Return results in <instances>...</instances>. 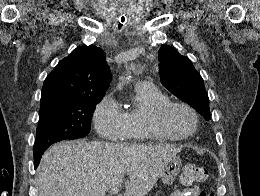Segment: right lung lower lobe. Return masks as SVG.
<instances>
[{
	"mask_svg": "<svg viewBox=\"0 0 260 196\" xmlns=\"http://www.w3.org/2000/svg\"><path fill=\"white\" fill-rule=\"evenodd\" d=\"M47 148L34 150V164L35 167L39 164L42 154Z\"/></svg>",
	"mask_w": 260,
	"mask_h": 196,
	"instance_id": "right-lung-lower-lobe-1",
	"label": "right lung lower lobe"
}]
</instances>
